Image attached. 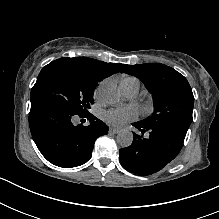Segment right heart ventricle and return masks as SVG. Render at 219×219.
Returning <instances> with one entry per match:
<instances>
[{
	"label": "right heart ventricle",
	"mask_w": 219,
	"mask_h": 219,
	"mask_svg": "<svg viewBox=\"0 0 219 219\" xmlns=\"http://www.w3.org/2000/svg\"><path fill=\"white\" fill-rule=\"evenodd\" d=\"M121 89L140 88L139 80L134 76L123 75L120 80Z\"/></svg>",
	"instance_id": "e07e8e85"
}]
</instances>
